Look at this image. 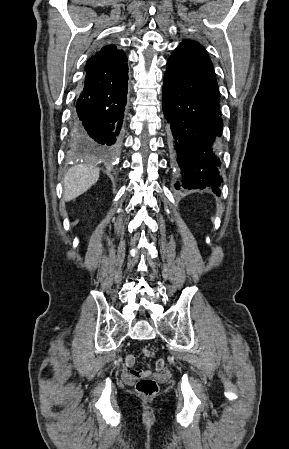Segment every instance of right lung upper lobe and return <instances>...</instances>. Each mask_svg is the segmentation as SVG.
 <instances>
[{"label":"right lung upper lobe","mask_w":289,"mask_h":449,"mask_svg":"<svg viewBox=\"0 0 289 449\" xmlns=\"http://www.w3.org/2000/svg\"><path fill=\"white\" fill-rule=\"evenodd\" d=\"M127 57L115 45L104 46L92 56L85 66L86 72L105 73L119 66L125 65Z\"/></svg>","instance_id":"right-lung-upper-lobe-1"}]
</instances>
